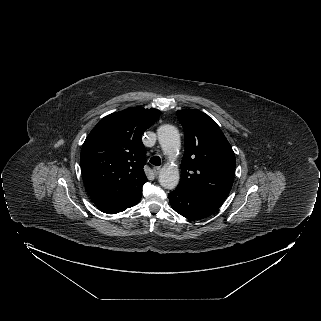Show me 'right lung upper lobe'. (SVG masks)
<instances>
[{
    "instance_id": "right-lung-upper-lobe-1",
    "label": "right lung upper lobe",
    "mask_w": 321,
    "mask_h": 321,
    "mask_svg": "<svg viewBox=\"0 0 321 321\" xmlns=\"http://www.w3.org/2000/svg\"><path fill=\"white\" fill-rule=\"evenodd\" d=\"M157 109L132 107L102 118L81 150V171L97 208L108 214L137 204L147 182L141 135L159 116Z\"/></svg>"
}]
</instances>
